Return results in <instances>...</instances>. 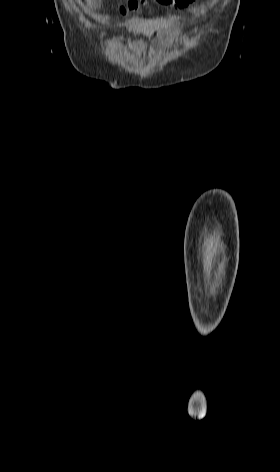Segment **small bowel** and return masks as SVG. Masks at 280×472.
<instances>
[{
	"instance_id": "c3829d8e",
	"label": "small bowel",
	"mask_w": 280,
	"mask_h": 472,
	"mask_svg": "<svg viewBox=\"0 0 280 472\" xmlns=\"http://www.w3.org/2000/svg\"><path fill=\"white\" fill-rule=\"evenodd\" d=\"M177 4H175V7L178 9H186L189 6H191L196 0H179Z\"/></svg>"
}]
</instances>
